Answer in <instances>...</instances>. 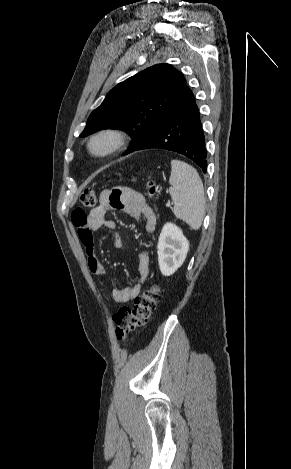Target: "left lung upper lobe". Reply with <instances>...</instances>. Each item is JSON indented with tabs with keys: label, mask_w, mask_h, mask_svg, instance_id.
<instances>
[{
	"label": "left lung upper lobe",
	"mask_w": 291,
	"mask_h": 469,
	"mask_svg": "<svg viewBox=\"0 0 291 469\" xmlns=\"http://www.w3.org/2000/svg\"><path fill=\"white\" fill-rule=\"evenodd\" d=\"M183 74L170 64H157L119 83L89 116L81 137L101 129L127 131L137 147L187 92ZM125 153V154H126Z\"/></svg>",
	"instance_id": "obj_1"
}]
</instances>
